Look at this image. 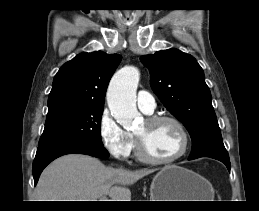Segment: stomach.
<instances>
[{"mask_svg":"<svg viewBox=\"0 0 259 211\" xmlns=\"http://www.w3.org/2000/svg\"><path fill=\"white\" fill-rule=\"evenodd\" d=\"M213 188L208 181L186 168H162L150 185L151 201H210Z\"/></svg>","mask_w":259,"mask_h":211,"instance_id":"stomach-1","label":"stomach"}]
</instances>
